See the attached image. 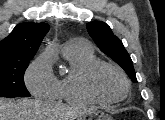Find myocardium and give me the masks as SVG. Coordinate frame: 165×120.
<instances>
[{"instance_id":"1","label":"myocardium","mask_w":165,"mask_h":120,"mask_svg":"<svg viewBox=\"0 0 165 120\" xmlns=\"http://www.w3.org/2000/svg\"><path fill=\"white\" fill-rule=\"evenodd\" d=\"M102 68H110L120 75L125 86L124 93L122 96L117 98H105L96 91L94 86V78L98 73V71L101 70ZM82 89L84 93L95 102H99L102 104H113L120 102L126 98L130 90V82L125 72L118 65L112 62L98 60L92 63L85 70L82 78Z\"/></svg>"}]
</instances>
